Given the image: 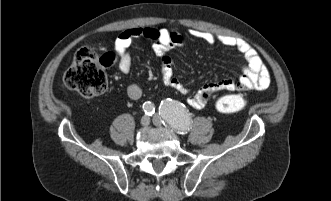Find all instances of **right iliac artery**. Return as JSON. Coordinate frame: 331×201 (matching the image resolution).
<instances>
[{
    "instance_id": "obj_1",
    "label": "right iliac artery",
    "mask_w": 331,
    "mask_h": 201,
    "mask_svg": "<svg viewBox=\"0 0 331 201\" xmlns=\"http://www.w3.org/2000/svg\"><path fill=\"white\" fill-rule=\"evenodd\" d=\"M143 110L145 112L146 115H149L151 116L152 114L155 113V107H154V104L147 101L143 104Z\"/></svg>"
}]
</instances>
